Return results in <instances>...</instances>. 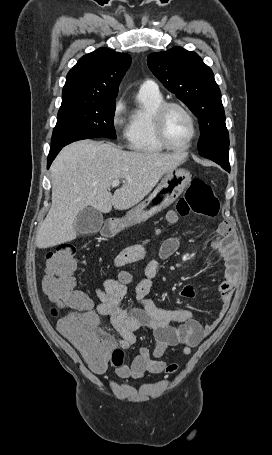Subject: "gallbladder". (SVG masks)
<instances>
[{"label": "gallbladder", "mask_w": 272, "mask_h": 455, "mask_svg": "<svg viewBox=\"0 0 272 455\" xmlns=\"http://www.w3.org/2000/svg\"><path fill=\"white\" fill-rule=\"evenodd\" d=\"M102 223L101 213L92 207H87L77 215L74 228L79 234H93L100 230Z\"/></svg>", "instance_id": "obj_1"}]
</instances>
